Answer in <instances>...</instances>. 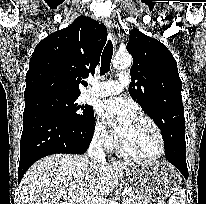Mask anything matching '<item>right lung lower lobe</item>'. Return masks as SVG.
Returning a JSON list of instances; mask_svg holds the SVG:
<instances>
[{"instance_id":"98d812e1","label":"right lung lower lobe","mask_w":206,"mask_h":204,"mask_svg":"<svg viewBox=\"0 0 206 204\" xmlns=\"http://www.w3.org/2000/svg\"><path fill=\"white\" fill-rule=\"evenodd\" d=\"M94 127V117L83 123H74L47 110L23 113L18 182L27 169L42 157L57 153H85Z\"/></svg>"}]
</instances>
